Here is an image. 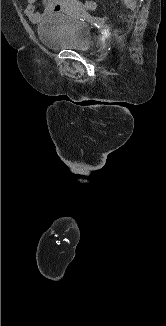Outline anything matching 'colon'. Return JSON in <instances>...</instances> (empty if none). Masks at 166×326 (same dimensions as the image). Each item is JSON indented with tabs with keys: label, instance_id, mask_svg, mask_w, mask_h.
Returning a JSON list of instances; mask_svg holds the SVG:
<instances>
[{
	"label": "colon",
	"instance_id": "obj_1",
	"mask_svg": "<svg viewBox=\"0 0 166 326\" xmlns=\"http://www.w3.org/2000/svg\"><path fill=\"white\" fill-rule=\"evenodd\" d=\"M96 6V3L94 1H87L86 2V8L88 9H94Z\"/></svg>",
	"mask_w": 166,
	"mask_h": 326
}]
</instances>
